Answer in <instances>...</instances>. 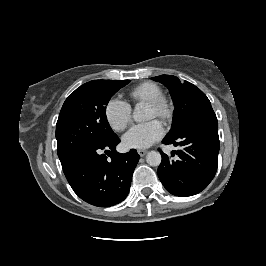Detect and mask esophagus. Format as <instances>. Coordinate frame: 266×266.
<instances>
[{"mask_svg": "<svg viewBox=\"0 0 266 266\" xmlns=\"http://www.w3.org/2000/svg\"><path fill=\"white\" fill-rule=\"evenodd\" d=\"M137 152H138V154H139L141 157H143V156L146 155L147 150L139 149Z\"/></svg>", "mask_w": 266, "mask_h": 266, "instance_id": "obj_1", "label": "esophagus"}]
</instances>
